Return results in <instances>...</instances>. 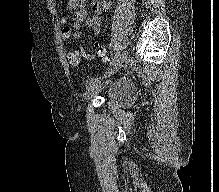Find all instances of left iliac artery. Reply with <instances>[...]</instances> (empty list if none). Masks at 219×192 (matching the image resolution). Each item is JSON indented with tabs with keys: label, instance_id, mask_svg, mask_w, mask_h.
Listing matches in <instances>:
<instances>
[{
	"label": "left iliac artery",
	"instance_id": "obj_1",
	"mask_svg": "<svg viewBox=\"0 0 219 192\" xmlns=\"http://www.w3.org/2000/svg\"><path fill=\"white\" fill-rule=\"evenodd\" d=\"M119 54H120V51H117L116 54L114 55L112 61L109 64L110 66L112 65L113 61L119 56Z\"/></svg>",
	"mask_w": 219,
	"mask_h": 192
}]
</instances>
